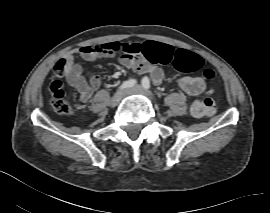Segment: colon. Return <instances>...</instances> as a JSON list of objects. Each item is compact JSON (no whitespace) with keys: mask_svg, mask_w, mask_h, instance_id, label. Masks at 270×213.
I'll return each instance as SVG.
<instances>
[{"mask_svg":"<svg viewBox=\"0 0 270 213\" xmlns=\"http://www.w3.org/2000/svg\"><path fill=\"white\" fill-rule=\"evenodd\" d=\"M110 53L127 54L140 56L147 51L137 43L113 42L106 45ZM172 62L179 72H195L201 67L202 58L191 52L179 50L175 56L167 62ZM203 75L207 80L214 78V72L211 69H205ZM208 91L205 95L198 97L191 105V113L197 117H207L215 112V102ZM50 104L59 114H69L71 105L66 98V93L61 83L56 80L51 86Z\"/></svg>","mask_w":270,"mask_h":213,"instance_id":"1","label":"colon"}]
</instances>
